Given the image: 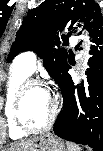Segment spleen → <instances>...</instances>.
Masks as SVG:
<instances>
[{
  "label": "spleen",
  "mask_w": 103,
  "mask_h": 151,
  "mask_svg": "<svg viewBox=\"0 0 103 151\" xmlns=\"http://www.w3.org/2000/svg\"><path fill=\"white\" fill-rule=\"evenodd\" d=\"M67 149L68 151H81V148L78 145L71 142H67Z\"/></svg>",
  "instance_id": "obj_1"
}]
</instances>
